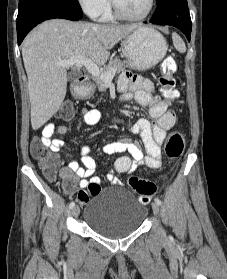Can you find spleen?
Wrapping results in <instances>:
<instances>
[{
  "instance_id": "spleen-1",
  "label": "spleen",
  "mask_w": 227,
  "mask_h": 279,
  "mask_svg": "<svg viewBox=\"0 0 227 279\" xmlns=\"http://www.w3.org/2000/svg\"><path fill=\"white\" fill-rule=\"evenodd\" d=\"M172 40L174 47L180 52L184 53L186 52V46L184 41L181 39V37L177 33L172 34Z\"/></svg>"
}]
</instances>
